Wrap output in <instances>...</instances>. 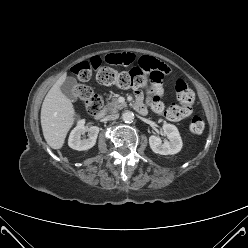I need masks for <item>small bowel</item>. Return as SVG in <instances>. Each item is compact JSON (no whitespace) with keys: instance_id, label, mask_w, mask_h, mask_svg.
Segmentation results:
<instances>
[{"instance_id":"1","label":"small bowel","mask_w":248,"mask_h":248,"mask_svg":"<svg viewBox=\"0 0 248 248\" xmlns=\"http://www.w3.org/2000/svg\"><path fill=\"white\" fill-rule=\"evenodd\" d=\"M103 61L114 65H128L135 61V56L130 52H121V53L109 54L104 57ZM139 66L144 70L154 72V76L156 78L163 77L164 74L168 72V67L164 63L150 56H144L143 58H141L139 60ZM161 95H162V90L158 88L157 97L160 99ZM137 99H138L137 103L141 105L142 108H144V110H146V108L149 107L154 112H157L152 108V101H153L152 97H147L146 105L142 103L143 96L141 93L137 94Z\"/></svg>"}]
</instances>
